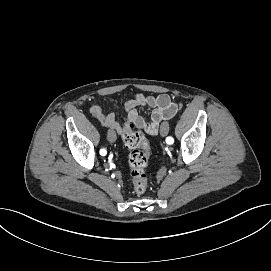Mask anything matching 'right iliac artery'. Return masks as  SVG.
<instances>
[{
	"instance_id": "right-iliac-artery-1",
	"label": "right iliac artery",
	"mask_w": 271,
	"mask_h": 271,
	"mask_svg": "<svg viewBox=\"0 0 271 271\" xmlns=\"http://www.w3.org/2000/svg\"><path fill=\"white\" fill-rule=\"evenodd\" d=\"M101 155L102 156L106 155V147H101Z\"/></svg>"
}]
</instances>
